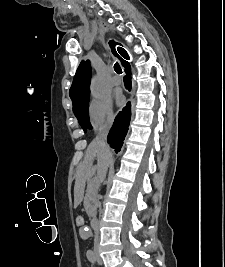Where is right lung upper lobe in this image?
I'll use <instances>...</instances> for the list:
<instances>
[{
    "label": "right lung upper lobe",
    "mask_w": 225,
    "mask_h": 267,
    "mask_svg": "<svg viewBox=\"0 0 225 267\" xmlns=\"http://www.w3.org/2000/svg\"><path fill=\"white\" fill-rule=\"evenodd\" d=\"M128 66V63H123ZM91 67L89 60L82 61L76 71L72 86L69 91L73 106L90 94Z\"/></svg>",
    "instance_id": "right-lung-upper-lobe-1"
}]
</instances>
